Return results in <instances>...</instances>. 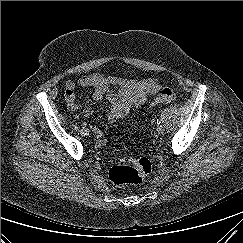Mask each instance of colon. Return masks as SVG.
<instances>
[{"instance_id": "obj_1", "label": "colon", "mask_w": 243, "mask_h": 243, "mask_svg": "<svg viewBox=\"0 0 243 243\" xmlns=\"http://www.w3.org/2000/svg\"><path fill=\"white\" fill-rule=\"evenodd\" d=\"M175 93L169 88L159 91L152 105L170 103L175 99ZM115 164L109 170V179L116 186L141 184L152 171V163L146 158L127 159L114 154Z\"/></svg>"}]
</instances>
